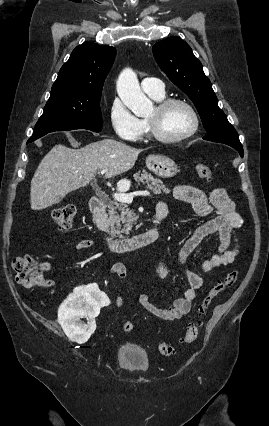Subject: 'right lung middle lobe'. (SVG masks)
Wrapping results in <instances>:
<instances>
[{
	"mask_svg": "<svg viewBox=\"0 0 269 426\" xmlns=\"http://www.w3.org/2000/svg\"><path fill=\"white\" fill-rule=\"evenodd\" d=\"M100 99L101 95L73 96L66 92L52 93L28 142L54 131L73 129L101 131L103 121Z\"/></svg>",
	"mask_w": 269,
	"mask_h": 426,
	"instance_id": "1",
	"label": "right lung middle lobe"
}]
</instances>
